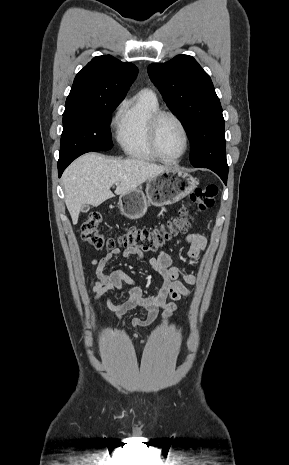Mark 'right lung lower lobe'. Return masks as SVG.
<instances>
[{
  "instance_id": "obj_1",
  "label": "right lung lower lobe",
  "mask_w": 289,
  "mask_h": 465,
  "mask_svg": "<svg viewBox=\"0 0 289 465\" xmlns=\"http://www.w3.org/2000/svg\"><path fill=\"white\" fill-rule=\"evenodd\" d=\"M74 159L58 162V175L59 177L62 175L65 168L73 161Z\"/></svg>"
}]
</instances>
